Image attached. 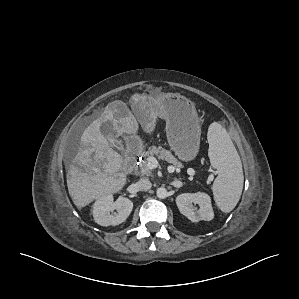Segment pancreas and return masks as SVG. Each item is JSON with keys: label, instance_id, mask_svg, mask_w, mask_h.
<instances>
[{"label": "pancreas", "instance_id": "1", "mask_svg": "<svg viewBox=\"0 0 299 299\" xmlns=\"http://www.w3.org/2000/svg\"><path fill=\"white\" fill-rule=\"evenodd\" d=\"M145 159L140 162L139 170L142 175L150 176L152 174L151 169L148 165V159L150 157H157L160 160H164L172 164L175 168H181L183 165L178 159L168 150L163 148L151 147L144 153Z\"/></svg>", "mask_w": 299, "mask_h": 299}]
</instances>
